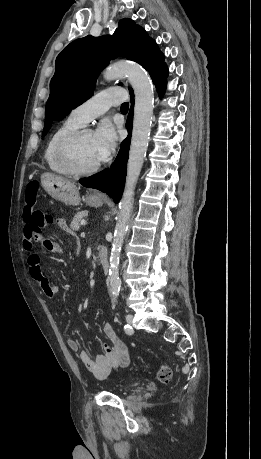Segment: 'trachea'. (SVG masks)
Instances as JSON below:
<instances>
[{"instance_id":"3493384b","label":"trachea","mask_w":261,"mask_h":459,"mask_svg":"<svg viewBox=\"0 0 261 459\" xmlns=\"http://www.w3.org/2000/svg\"><path fill=\"white\" fill-rule=\"evenodd\" d=\"M128 108H129V104H128L127 102H125V103H123V104L121 105V110H122V111H127Z\"/></svg>"}]
</instances>
